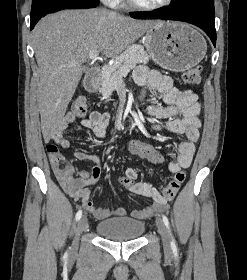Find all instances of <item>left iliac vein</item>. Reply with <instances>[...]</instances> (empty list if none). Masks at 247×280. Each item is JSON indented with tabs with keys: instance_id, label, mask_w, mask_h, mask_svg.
Segmentation results:
<instances>
[{
	"instance_id": "1",
	"label": "left iliac vein",
	"mask_w": 247,
	"mask_h": 280,
	"mask_svg": "<svg viewBox=\"0 0 247 280\" xmlns=\"http://www.w3.org/2000/svg\"><path fill=\"white\" fill-rule=\"evenodd\" d=\"M156 225L158 228V232L161 235L163 246H164L165 250L170 251V249H171L170 236H169V233L167 231L165 224L163 223V221L160 218H157Z\"/></svg>"
}]
</instances>
